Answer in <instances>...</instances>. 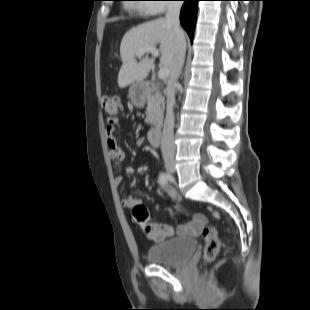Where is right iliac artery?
Instances as JSON below:
<instances>
[{
  "mask_svg": "<svg viewBox=\"0 0 310 310\" xmlns=\"http://www.w3.org/2000/svg\"><path fill=\"white\" fill-rule=\"evenodd\" d=\"M159 178H160L162 183H167L168 180L170 179V176L166 173H161Z\"/></svg>",
  "mask_w": 310,
  "mask_h": 310,
  "instance_id": "82829eb1",
  "label": "right iliac artery"
}]
</instances>
